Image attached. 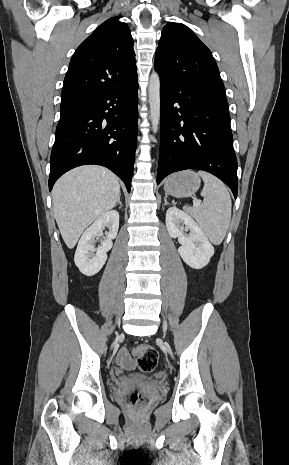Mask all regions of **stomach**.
I'll return each mask as SVG.
<instances>
[{
    "instance_id": "1",
    "label": "stomach",
    "mask_w": 289,
    "mask_h": 465,
    "mask_svg": "<svg viewBox=\"0 0 289 465\" xmlns=\"http://www.w3.org/2000/svg\"><path fill=\"white\" fill-rule=\"evenodd\" d=\"M201 181L197 173L191 170L170 175L164 183V190L174 197L192 196L200 187Z\"/></svg>"
}]
</instances>
